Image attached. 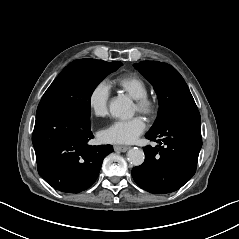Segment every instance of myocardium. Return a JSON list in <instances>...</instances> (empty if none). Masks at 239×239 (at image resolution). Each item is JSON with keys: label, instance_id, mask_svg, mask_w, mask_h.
Listing matches in <instances>:
<instances>
[{"label": "myocardium", "instance_id": "1", "mask_svg": "<svg viewBox=\"0 0 239 239\" xmlns=\"http://www.w3.org/2000/svg\"><path fill=\"white\" fill-rule=\"evenodd\" d=\"M136 106L137 111L147 116L149 119L155 118L158 113V102L149 95L137 98Z\"/></svg>", "mask_w": 239, "mask_h": 239}]
</instances>
